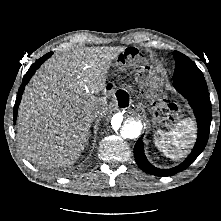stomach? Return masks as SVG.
Listing matches in <instances>:
<instances>
[{"label":"stomach","mask_w":221,"mask_h":221,"mask_svg":"<svg viewBox=\"0 0 221 221\" xmlns=\"http://www.w3.org/2000/svg\"><path fill=\"white\" fill-rule=\"evenodd\" d=\"M139 77L145 91V97L150 101L154 125L157 126L163 121L176 118L179 111L175 100L171 96H165L161 90L162 82L157 71L147 67L141 70Z\"/></svg>","instance_id":"stomach-1"}]
</instances>
